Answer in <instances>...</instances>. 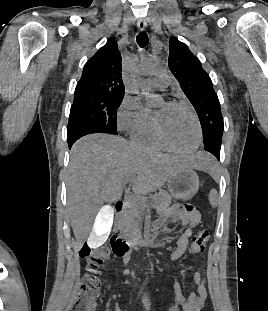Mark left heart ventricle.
<instances>
[{
    "label": "left heart ventricle",
    "mask_w": 268,
    "mask_h": 311,
    "mask_svg": "<svg viewBox=\"0 0 268 311\" xmlns=\"http://www.w3.org/2000/svg\"><path fill=\"white\" fill-rule=\"evenodd\" d=\"M166 139L174 146L191 149L197 140V129L191 114L185 109L161 104L154 112Z\"/></svg>",
    "instance_id": "left-heart-ventricle-1"
}]
</instances>
